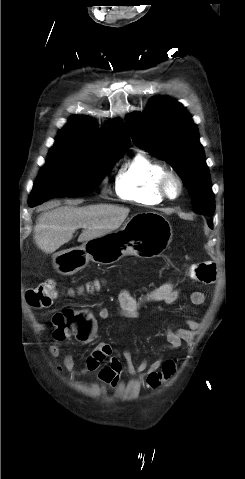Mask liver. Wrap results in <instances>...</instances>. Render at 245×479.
<instances>
[{"label": "liver", "mask_w": 245, "mask_h": 479, "mask_svg": "<svg viewBox=\"0 0 245 479\" xmlns=\"http://www.w3.org/2000/svg\"><path fill=\"white\" fill-rule=\"evenodd\" d=\"M129 208L96 204L84 207L60 206L43 212L34 227V240L45 253H53L83 228L78 242H86L117 230L127 218Z\"/></svg>", "instance_id": "obj_1"}]
</instances>
